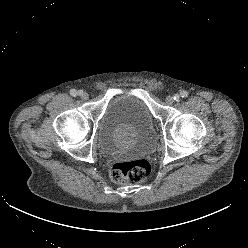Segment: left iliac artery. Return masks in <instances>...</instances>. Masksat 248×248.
I'll list each match as a JSON object with an SVG mask.
<instances>
[{
	"instance_id": "1",
	"label": "left iliac artery",
	"mask_w": 248,
	"mask_h": 248,
	"mask_svg": "<svg viewBox=\"0 0 248 248\" xmlns=\"http://www.w3.org/2000/svg\"><path fill=\"white\" fill-rule=\"evenodd\" d=\"M187 96H188V92L183 90L180 92V95H178V94L174 95V100L179 101L180 97L186 98Z\"/></svg>"
}]
</instances>
